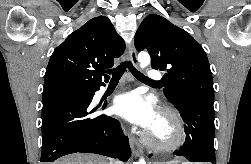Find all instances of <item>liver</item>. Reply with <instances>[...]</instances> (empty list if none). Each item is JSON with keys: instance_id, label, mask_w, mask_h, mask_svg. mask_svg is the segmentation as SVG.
Wrapping results in <instances>:
<instances>
[{"instance_id": "1", "label": "liver", "mask_w": 251, "mask_h": 164, "mask_svg": "<svg viewBox=\"0 0 251 164\" xmlns=\"http://www.w3.org/2000/svg\"><path fill=\"white\" fill-rule=\"evenodd\" d=\"M54 164H119V163L108 161L104 157L98 155L77 153L65 156L60 160L56 161Z\"/></svg>"}]
</instances>
